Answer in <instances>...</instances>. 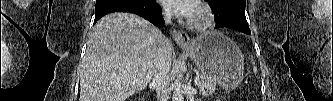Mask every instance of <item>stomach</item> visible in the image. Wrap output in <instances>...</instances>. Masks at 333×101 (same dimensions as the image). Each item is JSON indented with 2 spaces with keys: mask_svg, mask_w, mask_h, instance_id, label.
Wrapping results in <instances>:
<instances>
[{
  "mask_svg": "<svg viewBox=\"0 0 333 101\" xmlns=\"http://www.w3.org/2000/svg\"><path fill=\"white\" fill-rule=\"evenodd\" d=\"M192 61L213 82L233 90L244 76V59L236 43L219 31H208L184 48Z\"/></svg>",
  "mask_w": 333,
  "mask_h": 101,
  "instance_id": "obj_1",
  "label": "stomach"
}]
</instances>
